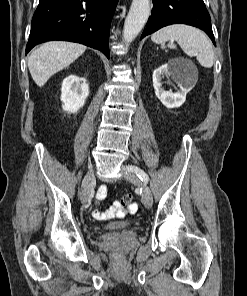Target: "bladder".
Listing matches in <instances>:
<instances>
[{"mask_svg":"<svg viewBox=\"0 0 247 296\" xmlns=\"http://www.w3.org/2000/svg\"><path fill=\"white\" fill-rule=\"evenodd\" d=\"M133 225L131 221L111 222L105 225L108 230H123L128 229Z\"/></svg>","mask_w":247,"mask_h":296,"instance_id":"bladder-1","label":"bladder"}]
</instances>
